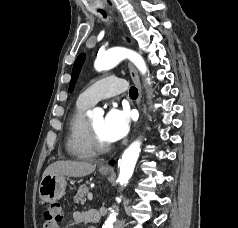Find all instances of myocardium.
<instances>
[{
	"instance_id": "f54148a6",
	"label": "myocardium",
	"mask_w": 238,
	"mask_h": 228,
	"mask_svg": "<svg viewBox=\"0 0 238 228\" xmlns=\"http://www.w3.org/2000/svg\"><path fill=\"white\" fill-rule=\"evenodd\" d=\"M88 132L90 143L95 153L104 154L111 150V144L109 142L105 143L99 138L90 122H88Z\"/></svg>"
}]
</instances>
